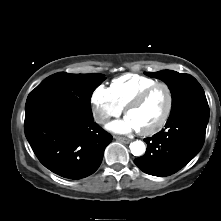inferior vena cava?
Here are the masks:
<instances>
[{"instance_id":"obj_1","label":"inferior vena cava","mask_w":221,"mask_h":221,"mask_svg":"<svg viewBox=\"0 0 221 221\" xmlns=\"http://www.w3.org/2000/svg\"><path fill=\"white\" fill-rule=\"evenodd\" d=\"M95 120H96V122H98V123H105V122H106V117L100 115V116H97V117L95 118Z\"/></svg>"}]
</instances>
